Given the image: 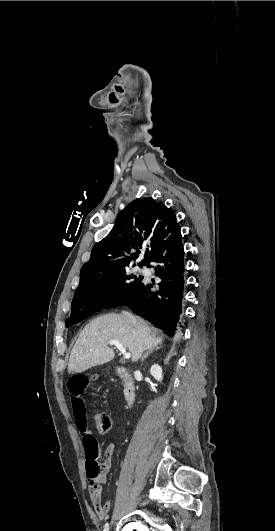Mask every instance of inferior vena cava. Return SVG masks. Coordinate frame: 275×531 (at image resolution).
Listing matches in <instances>:
<instances>
[{"mask_svg": "<svg viewBox=\"0 0 275 531\" xmlns=\"http://www.w3.org/2000/svg\"><path fill=\"white\" fill-rule=\"evenodd\" d=\"M124 315H127L128 319H130L131 323H133V325H136V327L138 329V323H137L135 317H132V315H130V313H124Z\"/></svg>", "mask_w": 275, "mask_h": 531, "instance_id": "obj_1", "label": "inferior vena cava"}]
</instances>
